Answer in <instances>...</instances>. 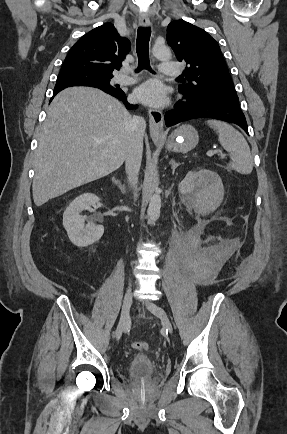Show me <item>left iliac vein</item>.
<instances>
[{"mask_svg":"<svg viewBox=\"0 0 287 434\" xmlns=\"http://www.w3.org/2000/svg\"><path fill=\"white\" fill-rule=\"evenodd\" d=\"M145 306L147 307V309H148L151 313H153L155 316H157V317L161 320L163 326H164V327H165V328H166L170 333L173 332L172 323H171V321H170V319H169V317H168L166 311H165L162 307L158 306L157 304H155V303H153V302H146V303H145Z\"/></svg>","mask_w":287,"mask_h":434,"instance_id":"obj_1","label":"left iliac vein"}]
</instances>
